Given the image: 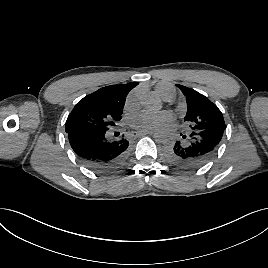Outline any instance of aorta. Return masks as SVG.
I'll list each match as a JSON object with an SVG mask.
<instances>
[{"mask_svg": "<svg viewBox=\"0 0 268 268\" xmlns=\"http://www.w3.org/2000/svg\"><path fill=\"white\" fill-rule=\"evenodd\" d=\"M144 105L147 106L148 108L152 109V110H157L160 108V103L159 101L154 98V97H150L147 100H144ZM167 136L163 131H156L154 133V140L159 143L162 144L166 141Z\"/></svg>", "mask_w": 268, "mask_h": 268, "instance_id": "obj_1", "label": "aorta"}]
</instances>
